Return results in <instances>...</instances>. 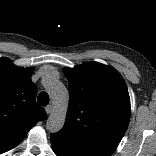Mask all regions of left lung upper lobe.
I'll return each mask as SVG.
<instances>
[{"label":"left lung upper lobe","mask_w":156,"mask_h":156,"mask_svg":"<svg viewBox=\"0 0 156 156\" xmlns=\"http://www.w3.org/2000/svg\"><path fill=\"white\" fill-rule=\"evenodd\" d=\"M70 100L63 128L68 139L111 155L128 127L130 98L113 67L98 62L65 68Z\"/></svg>","instance_id":"5c2ea615"}]
</instances>
